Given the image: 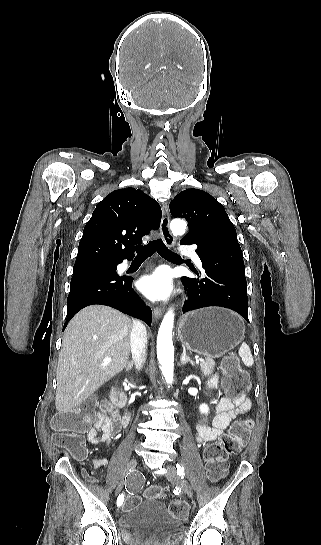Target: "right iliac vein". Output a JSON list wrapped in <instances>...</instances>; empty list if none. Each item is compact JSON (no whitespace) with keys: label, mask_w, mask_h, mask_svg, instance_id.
<instances>
[{"label":"right iliac vein","mask_w":321,"mask_h":545,"mask_svg":"<svg viewBox=\"0 0 321 545\" xmlns=\"http://www.w3.org/2000/svg\"><path fill=\"white\" fill-rule=\"evenodd\" d=\"M137 465V460L136 459H132L128 465H127V468H126V473L122 476V478L120 479L118 485H117V488H116V491L115 493L118 495L120 494V492L122 491L123 487H124V483H125V480H124V476L126 474H128L129 471H133L135 469Z\"/></svg>","instance_id":"obj_1"}]
</instances>
